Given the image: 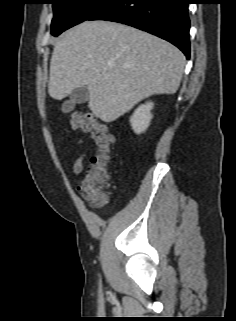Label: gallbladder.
I'll list each match as a JSON object with an SVG mask.
<instances>
[{
	"label": "gallbladder",
	"instance_id": "obj_1",
	"mask_svg": "<svg viewBox=\"0 0 236 321\" xmlns=\"http://www.w3.org/2000/svg\"><path fill=\"white\" fill-rule=\"evenodd\" d=\"M70 99L63 103L62 111L68 113L72 111L76 104H83L89 99V91L86 86L74 89L70 94Z\"/></svg>",
	"mask_w": 236,
	"mask_h": 321
}]
</instances>
